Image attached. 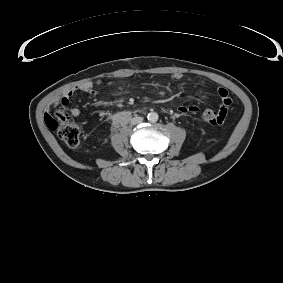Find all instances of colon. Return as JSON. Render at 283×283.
Instances as JSON below:
<instances>
[{
    "instance_id": "obj_1",
    "label": "colon",
    "mask_w": 283,
    "mask_h": 283,
    "mask_svg": "<svg viewBox=\"0 0 283 283\" xmlns=\"http://www.w3.org/2000/svg\"><path fill=\"white\" fill-rule=\"evenodd\" d=\"M229 103V101H228ZM67 103L63 101L61 106L53 109L44 117L45 124L68 146L76 147L80 144L81 130L80 127L72 122L67 114ZM227 115L226 109L214 110L207 108L203 112V119L210 124H222Z\"/></svg>"
}]
</instances>
